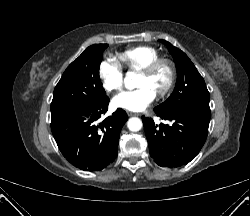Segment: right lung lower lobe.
Wrapping results in <instances>:
<instances>
[{"label":"right lung lower lobe","mask_w":250,"mask_h":216,"mask_svg":"<svg viewBox=\"0 0 250 216\" xmlns=\"http://www.w3.org/2000/svg\"><path fill=\"white\" fill-rule=\"evenodd\" d=\"M106 97L88 108L53 117L51 130L63 156L74 166L100 171L117 156L120 132L128 119L126 112L117 109L100 122L108 110Z\"/></svg>","instance_id":"1"}]
</instances>
